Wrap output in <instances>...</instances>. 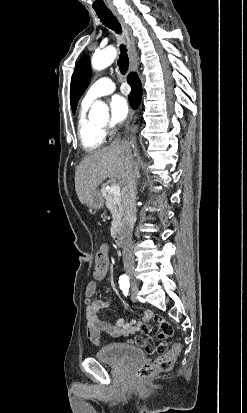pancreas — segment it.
<instances>
[{"label": "pancreas", "instance_id": "obj_1", "mask_svg": "<svg viewBox=\"0 0 247 413\" xmlns=\"http://www.w3.org/2000/svg\"><path fill=\"white\" fill-rule=\"evenodd\" d=\"M101 194L106 200V207L110 209L112 215V229L116 231L117 227L121 225L122 217V204H121V194H112L109 188H105L104 184L101 188Z\"/></svg>", "mask_w": 247, "mask_h": 413}]
</instances>
